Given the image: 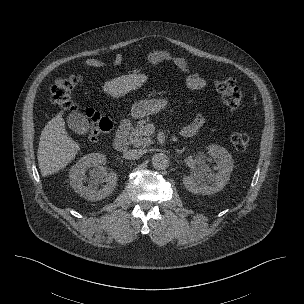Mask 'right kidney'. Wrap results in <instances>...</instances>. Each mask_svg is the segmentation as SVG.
I'll return each mask as SVG.
<instances>
[{
	"label": "right kidney",
	"mask_w": 304,
	"mask_h": 304,
	"mask_svg": "<svg viewBox=\"0 0 304 304\" xmlns=\"http://www.w3.org/2000/svg\"><path fill=\"white\" fill-rule=\"evenodd\" d=\"M105 159V156L99 153L87 154L80 158L69 172L72 188L87 200L98 201L104 199L116 187L117 175L112 171L108 172L102 165L105 163ZM91 165L94 168L90 172V177L86 179L85 169ZM84 181H88V186H84Z\"/></svg>",
	"instance_id": "right-kidney-1"
}]
</instances>
